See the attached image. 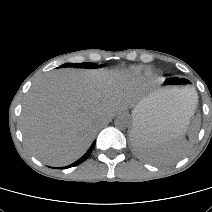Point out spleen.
I'll list each match as a JSON object with an SVG mask.
<instances>
[{"mask_svg": "<svg viewBox=\"0 0 212 212\" xmlns=\"http://www.w3.org/2000/svg\"><path fill=\"white\" fill-rule=\"evenodd\" d=\"M177 101L184 108L186 113L185 128L188 120L193 116L198 104V95L194 87H184L175 91ZM199 124L196 123L189 132L187 141L182 135L173 139H166L162 136L151 134L143 119L136 123L135 130H140V148L143 150H151L147 157L142 151L139 156L149 162L155 164H170L181 159L191 147V143L195 140ZM134 130V131H135Z\"/></svg>", "mask_w": 212, "mask_h": 212, "instance_id": "1", "label": "spleen"}]
</instances>
